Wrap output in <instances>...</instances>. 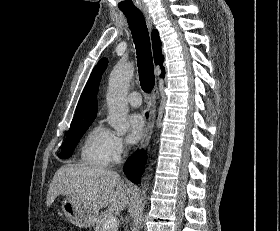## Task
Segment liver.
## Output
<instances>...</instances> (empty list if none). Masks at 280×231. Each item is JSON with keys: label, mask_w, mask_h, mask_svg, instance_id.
I'll return each instance as SVG.
<instances>
[{"label": "liver", "mask_w": 280, "mask_h": 231, "mask_svg": "<svg viewBox=\"0 0 280 231\" xmlns=\"http://www.w3.org/2000/svg\"><path fill=\"white\" fill-rule=\"evenodd\" d=\"M134 189L135 185L124 183L116 171L68 163L57 169L49 185L47 205H52L57 195H67L92 207L97 219L102 207H108L109 211L125 209L130 203L128 193Z\"/></svg>", "instance_id": "6515ba94"}]
</instances>
